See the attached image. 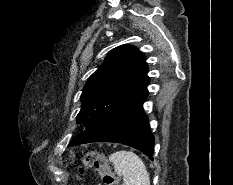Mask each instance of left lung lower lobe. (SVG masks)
I'll return each mask as SVG.
<instances>
[{"instance_id":"1","label":"left lung lower lobe","mask_w":233,"mask_h":185,"mask_svg":"<svg viewBox=\"0 0 233 185\" xmlns=\"http://www.w3.org/2000/svg\"><path fill=\"white\" fill-rule=\"evenodd\" d=\"M149 84L146 76L119 96L91 128L78 135L71 146L90 142H116L142 151L151 160L154 153V136L148 117L143 110Z\"/></svg>"}]
</instances>
